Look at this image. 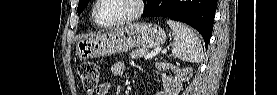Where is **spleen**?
Here are the masks:
<instances>
[{
  "instance_id": "obj_1",
  "label": "spleen",
  "mask_w": 277,
  "mask_h": 95,
  "mask_svg": "<svg viewBox=\"0 0 277 95\" xmlns=\"http://www.w3.org/2000/svg\"><path fill=\"white\" fill-rule=\"evenodd\" d=\"M167 24L174 35L172 54L182 61L200 62L203 58L202 45L193 30L189 26L173 20H168Z\"/></svg>"
}]
</instances>
